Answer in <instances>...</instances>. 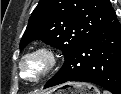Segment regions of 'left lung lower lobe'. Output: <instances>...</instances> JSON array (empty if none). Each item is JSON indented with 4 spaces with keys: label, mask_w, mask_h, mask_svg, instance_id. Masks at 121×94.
Segmentation results:
<instances>
[{
    "label": "left lung lower lobe",
    "mask_w": 121,
    "mask_h": 94,
    "mask_svg": "<svg viewBox=\"0 0 121 94\" xmlns=\"http://www.w3.org/2000/svg\"><path fill=\"white\" fill-rule=\"evenodd\" d=\"M69 81L91 82L121 94V26L117 18L75 49L44 88Z\"/></svg>",
    "instance_id": "0a47b994"
}]
</instances>
